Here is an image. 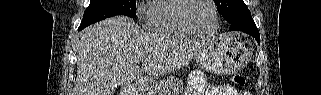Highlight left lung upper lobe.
Segmentation results:
<instances>
[{"label":"left lung upper lobe","instance_id":"5c2ea615","mask_svg":"<svg viewBox=\"0 0 321 95\" xmlns=\"http://www.w3.org/2000/svg\"><path fill=\"white\" fill-rule=\"evenodd\" d=\"M223 18L230 24L251 16L243 0H214Z\"/></svg>","mask_w":321,"mask_h":95}]
</instances>
